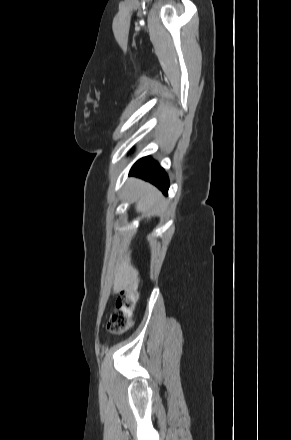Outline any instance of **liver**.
Listing matches in <instances>:
<instances>
[{
  "mask_svg": "<svg viewBox=\"0 0 291 440\" xmlns=\"http://www.w3.org/2000/svg\"><path fill=\"white\" fill-rule=\"evenodd\" d=\"M131 192L136 199V211L147 217L161 205V194L151 184L139 179L131 180ZM137 270L131 265L130 253L120 258L114 274V289L119 292L131 286L137 278Z\"/></svg>",
  "mask_w": 291,
  "mask_h": 440,
  "instance_id": "1",
  "label": "liver"
}]
</instances>
